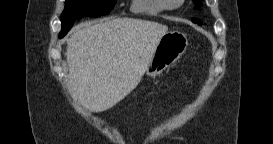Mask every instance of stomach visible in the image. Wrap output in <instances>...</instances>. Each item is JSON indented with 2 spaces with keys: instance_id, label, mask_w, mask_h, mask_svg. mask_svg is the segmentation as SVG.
<instances>
[{
  "instance_id": "stomach-1",
  "label": "stomach",
  "mask_w": 273,
  "mask_h": 144,
  "mask_svg": "<svg viewBox=\"0 0 273 144\" xmlns=\"http://www.w3.org/2000/svg\"><path fill=\"white\" fill-rule=\"evenodd\" d=\"M188 46L186 35L180 31H169L163 35L156 46L152 59L146 69L148 77L155 78L173 65L184 54Z\"/></svg>"
}]
</instances>
